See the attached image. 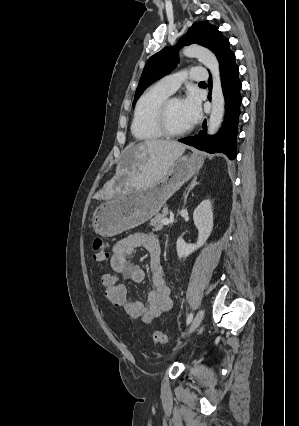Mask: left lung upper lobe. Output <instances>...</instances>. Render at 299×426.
Masks as SVG:
<instances>
[{
	"mask_svg": "<svg viewBox=\"0 0 299 426\" xmlns=\"http://www.w3.org/2000/svg\"><path fill=\"white\" fill-rule=\"evenodd\" d=\"M190 44H200L215 53L217 59L229 48V40L222 35L216 26L208 21L196 22L183 36L176 47H165L147 61L138 84L133 104L143 91L153 82L169 74L178 64L177 49Z\"/></svg>",
	"mask_w": 299,
	"mask_h": 426,
	"instance_id": "5c2ea615",
	"label": "left lung upper lobe"
}]
</instances>
